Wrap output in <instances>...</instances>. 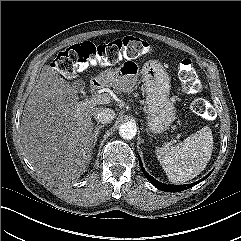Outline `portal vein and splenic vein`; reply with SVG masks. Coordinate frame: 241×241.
Instances as JSON below:
<instances>
[{
	"label": "portal vein and splenic vein",
	"mask_w": 241,
	"mask_h": 241,
	"mask_svg": "<svg viewBox=\"0 0 241 241\" xmlns=\"http://www.w3.org/2000/svg\"><path fill=\"white\" fill-rule=\"evenodd\" d=\"M111 96L108 93H103L99 95L92 96L90 98L89 102L91 103H97V104H108L111 101Z\"/></svg>",
	"instance_id": "obj_1"
}]
</instances>
